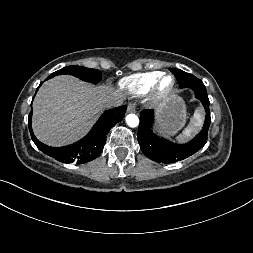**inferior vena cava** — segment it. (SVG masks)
<instances>
[{
	"label": "inferior vena cava",
	"mask_w": 253,
	"mask_h": 253,
	"mask_svg": "<svg viewBox=\"0 0 253 253\" xmlns=\"http://www.w3.org/2000/svg\"><path fill=\"white\" fill-rule=\"evenodd\" d=\"M120 105H122L121 100H111L108 102L107 107H118Z\"/></svg>",
	"instance_id": "602c4592"
}]
</instances>
